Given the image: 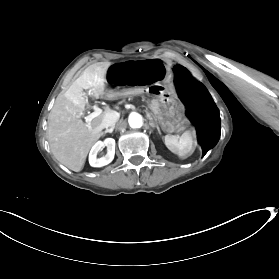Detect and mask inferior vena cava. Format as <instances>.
<instances>
[{
	"label": "inferior vena cava",
	"instance_id": "inferior-vena-cava-1",
	"mask_svg": "<svg viewBox=\"0 0 279 279\" xmlns=\"http://www.w3.org/2000/svg\"><path fill=\"white\" fill-rule=\"evenodd\" d=\"M114 113L110 112L103 116L102 125H103V128H106V130H108L109 126H111V128L115 127V123L119 119V113H117V112H114Z\"/></svg>",
	"mask_w": 279,
	"mask_h": 279
}]
</instances>
